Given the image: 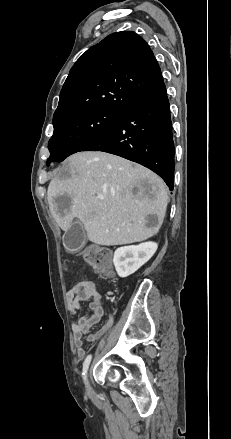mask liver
Returning <instances> with one entry per match:
<instances>
[{
    "mask_svg": "<svg viewBox=\"0 0 231 439\" xmlns=\"http://www.w3.org/2000/svg\"><path fill=\"white\" fill-rule=\"evenodd\" d=\"M47 200L63 231L78 218L91 242L112 246L154 236L165 216L168 192L151 170L92 151L73 154L63 163L48 186ZM148 215L157 217L155 226H148Z\"/></svg>",
    "mask_w": 231,
    "mask_h": 439,
    "instance_id": "obj_1",
    "label": "liver"
}]
</instances>
